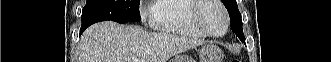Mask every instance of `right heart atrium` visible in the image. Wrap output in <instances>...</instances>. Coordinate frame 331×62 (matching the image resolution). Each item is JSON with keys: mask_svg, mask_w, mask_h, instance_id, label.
I'll return each instance as SVG.
<instances>
[{"mask_svg": "<svg viewBox=\"0 0 331 62\" xmlns=\"http://www.w3.org/2000/svg\"><path fill=\"white\" fill-rule=\"evenodd\" d=\"M143 6H144V5H143ZM142 15H143L144 18L147 16V11H146V9H143V11H142Z\"/></svg>", "mask_w": 331, "mask_h": 62, "instance_id": "right-heart-atrium-1", "label": "right heart atrium"}]
</instances>
